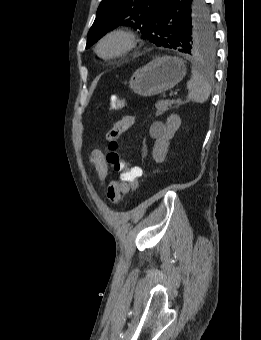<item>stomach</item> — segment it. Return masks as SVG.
<instances>
[{"mask_svg":"<svg viewBox=\"0 0 261 340\" xmlns=\"http://www.w3.org/2000/svg\"><path fill=\"white\" fill-rule=\"evenodd\" d=\"M186 75L183 60L177 57H159L136 70L129 88L139 96L151 97L177 85Z\"/></svg>","mask_w":261,"mask_h":340,"instance_id":"stomach-1","label":"stomach"}]
</instances>
